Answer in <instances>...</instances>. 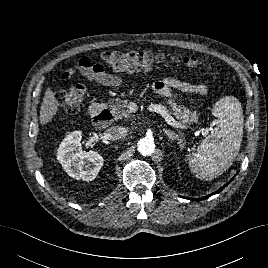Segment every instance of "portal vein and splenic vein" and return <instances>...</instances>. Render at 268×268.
Wrapping results in <instances>:
<instances>
[{
  "instance_id": "18ae733b",
  "label": "portal vein and splenic vein",
  "mask_w": 268,
  "mask_h": 268,
  "mask_svg": "<svg viewBox=\"0 0 268 268\" xmlns=\"http://www.w3.org/2000/svg\"><path fill=\"white\" fill-rule=\"evenodd\" d=\"M147 110L150 112H155L160 114L164 120L171 126L175 128H185V126L181 125L178 121H176L170 114L168 113L167 109L159 104H150L147 106ZM206 133L208 132V129L204 130Z\"/></svg>"
}]
</instances>
